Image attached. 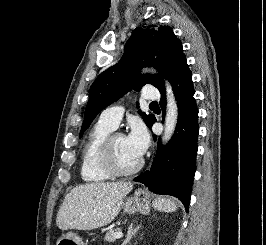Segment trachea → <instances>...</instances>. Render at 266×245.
<instances>
[{"mask_svg":"<svg viewBox=\"0 0 266 245\" xmlns=\"http://www.w3.org/2000/svg\"><path fill=\"white\" fill-rule=\"evenodd\" d=\"M155 104H157V102H151V104H150V105H155Z\"/></svg>","mask_w":266,"mask_h":245,"instance_id":"1","label":"trachea"}]
</instances>
